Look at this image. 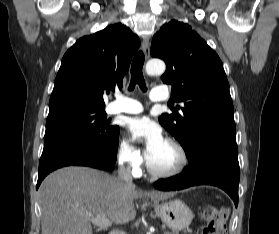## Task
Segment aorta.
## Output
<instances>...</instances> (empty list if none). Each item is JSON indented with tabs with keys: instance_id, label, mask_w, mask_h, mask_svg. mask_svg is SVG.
<instances>
[{
	"instance_id": "762f6f07",
	"label": "aorta",
	"mask_w": 279,
	"mask_h": 234,
	"mask_svg": "<svg viewBox=\"0 0 279 234\" xmlns=\"http://www.w3.org/2000/svg\"><path fill=\"white\" fill-rule=\"evenodd\" d=\"M165 69V63L159 59H152L146 64V73L148 75H161L165 72Z\"/></svg>"
}]
</instances>
